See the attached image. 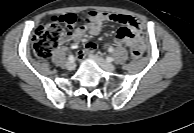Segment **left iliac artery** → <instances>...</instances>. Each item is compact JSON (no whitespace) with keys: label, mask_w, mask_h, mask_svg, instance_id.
Listing matches in <instances>:
<instances>
[{"label":"left iliac artery","mask_w":194,"mask_h":133,"mask_svg":"<svg viewBox=\"0 0 194 133\" xmlns=\"http://www.w3.org/2000/svg\"><path fill=\"white\" fill-rule=\"evenodd\" d=\"M106 60H107L108 62L114 61V59H113L112 57H106Z\"/></svg>","instance_id":"left-iliac-artery-1"}]
</instances>
